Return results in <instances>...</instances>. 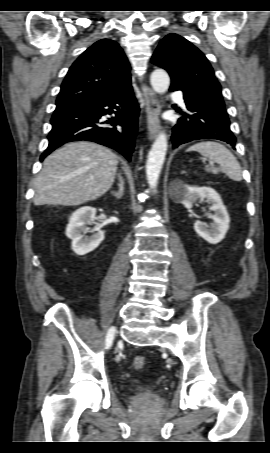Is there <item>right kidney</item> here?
Wrapping results in <instances>:
<instances>
[{
  "label": "right kidney",
  "mask_w": 270,
  "mask_h": 453,
  "mask_svg": "<svg viewBox=\"0 0 270 453\" xmlns=\"http://www.w3.org/2000/svg\"><path fill=\"white\" fill-rule=\"evenodd\" d=\"M96 209L85 206L76 210L70 217L66 228V236L72 240L71 248L79 256L96 249L104 239V232L98 228L90 230L87 227L95 220ZM87 232H92L90 237H84Z\"/></svg>",
  "instance_id": "ca27d5eb"
}]
</instances>
